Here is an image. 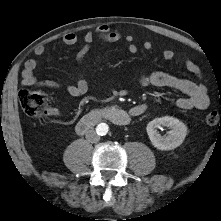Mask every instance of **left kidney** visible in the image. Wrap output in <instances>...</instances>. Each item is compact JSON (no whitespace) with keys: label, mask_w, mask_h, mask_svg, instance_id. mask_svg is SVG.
<instances>
[{"label":"left kidney","mask_w":221,"mask_h":221,"mask_svg":"<svg viewBox=\"0 0 221 221\" xmlns=\"http://www.w3.org/2000/svg\"><path fill=\"white\" fill-rule=\"evenodd\" d=\"M161 126L171 128L165 137H162L157 131ZM146 130L152 145L159 150H172L180 146L187 135V126L177 118L170 116L155 118L148 123Z\"/></svg>","instance_id":"5707ae66"}]
</instances>
